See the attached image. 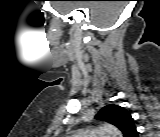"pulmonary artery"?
<instances>
[{
	"mask_svg": "<svg viewBox=\"0 0 160 137\" xmlns=\"http://www.w3.org/2000/svg\"><path fill=\"white\" fill-rule=\"evenodd\" d=\"M74 137H107L103 132L98 130L79 132Z\"/></svg>",
	"mask_w": 160,
	"mask_h": 137,
	"instance_id": "e3ab8cb5",
	"label": "pulmonary artery"
}]
</instances>
